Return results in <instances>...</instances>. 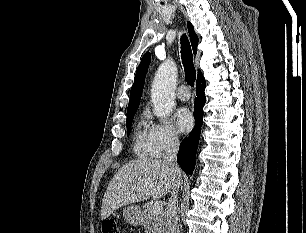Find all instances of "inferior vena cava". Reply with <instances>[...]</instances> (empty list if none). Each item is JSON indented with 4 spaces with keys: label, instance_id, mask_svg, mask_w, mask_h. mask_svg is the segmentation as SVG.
<instances>
[{
    "label": "inferior vena cava",
    "instance_id": "602c4592",
    "mask_svg": "<svg viewBox=\"0 0 306 233\" xmlns=\"http://www.w3.org/2000/svg\"><path fill=\"white\" fill-rule=\"evenodd\" d=\"M179 150V139L176 135L171 136L166 143L165 164L169 165L175 174L172 185V193L165 211V233H179L177 223L178 198L177 193L181 184V172L177 165V153Z\"/></svg>",
    "mask_w": 306,
    "mask_h": 233
}]
</instances>
